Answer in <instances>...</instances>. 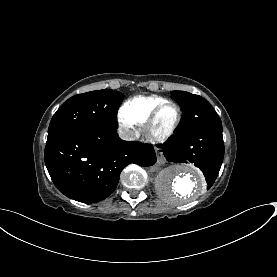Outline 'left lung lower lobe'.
<instances>
[{
	"mask_svg": "<svg viewBox=\"0 0 277 277\" xmlns=\"http://www.w3.org/2000/svg\"><path fill=\"white\" fill-rule=\"evenodd\" d=\"M158 147L169 162H190L198 167L209 189L217 178L224 157L222 125L178 133L169 142L158 144Z\"/></svg>",
	"mask_w": 277,
	"mask_h": 277,
	"instance_id": "obj_1",
	"label": "left lung lower lobe"
}]
</instances>
